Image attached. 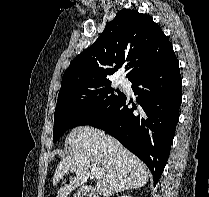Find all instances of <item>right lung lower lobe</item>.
<instances>
[{"label":"right lung lower lobe","instance_id":"right-lung-lower-lobe-1","mask_svg":"<svg viewBox=\"0 0 209 197\" xmlns=\"http://www.w3.org/2000/svg\"><path fill=\"white\" fill-rule=\"evenodd\" d=\"M138 107L125 95L88 125L106 131L150 169L157 184L171 149L182 101V80L175 53L132 81Z\"/></svg>","mask_w":209,"mask_h":197}]
</instances>
